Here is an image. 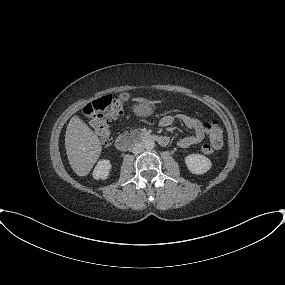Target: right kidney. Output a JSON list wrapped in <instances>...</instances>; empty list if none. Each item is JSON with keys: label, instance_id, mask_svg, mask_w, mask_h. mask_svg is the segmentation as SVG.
<instances>
[{"label": "right kidney", "instance_id": "ca27d5eb", "mask_svg": "<svg viewBox=\"0 0 285 285\" xmlns=\"http://www.w3.org/2000/svg\"><path fill=\"white\" fill-rule=\"evenodd\" d=\"M111 169L112 165L110 163V160L102 159L97 163L93 170V178L96 180H106L110 174Z\"/></svg>", "mask_w": 285, "mask_h": 285}]
</instances>
